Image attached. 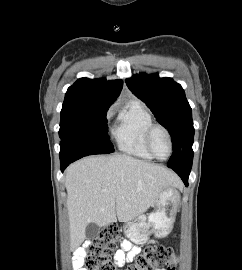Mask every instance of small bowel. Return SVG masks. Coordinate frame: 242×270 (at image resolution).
<instances>
[{"instance_id":"small-bowel-1","label":"small bowel","mask_w":242,"mask_h":270,"mask_svg":"<svg viewBox=\"0 0 242 270\" xmlns=\"http://www.w3.org/2000/svg\"><path fill=\"white\" fill-rule=\"evenodd\" d=\"M140 249L137 246L132 245L128 241H123L120 249L115 253V261L117 264H124L133 259L138 253ZM83 250H79L78 253L73 258L74 267L78 268V270H86L83 265ZM154 270H165L161 267H156Z\"/></svg>"}]
</instances>
